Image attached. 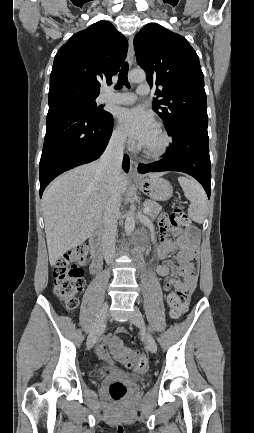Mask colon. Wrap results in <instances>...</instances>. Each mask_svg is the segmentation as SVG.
Wrapping results in <instances>:
<instances>
[{
	"mask_svg": "<svg viewBox=\"0 0 254 433\" xmlns=\"http://www.w3.org/2000/svg\"><path fill=\"white\" fill-rule=\"evenodd\" d=\"M174 228L188 229L189 235L195 236L197 231L190 225L188 215L182 206L174 210L163 219ZM87 247L80 246L71 249L57 262L54 271V292L68 310H73L78 305V294L84 286V270L82 264L86 261ZM171 316L179 318L187 309V302L180 299L179 295L172 293L168 298ZM124 332V330H121ZM112 345L120 352V360L137 372H145L148 368L147 358L138 352L123 351L118 340L113 339ZM128 387L121 382H114L109 386V395L114 401L124 399L128 394Z\"/></svg>",
	"mask_w": 254,
	"mask_h": 433,
	"instance_id": "1",
	"label": "colon"
}]
</instances>
